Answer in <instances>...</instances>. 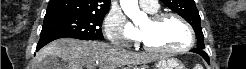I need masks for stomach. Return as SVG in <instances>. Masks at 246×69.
Instances as JSON below:
<instances>
[{"label":"stomach","mask_w":246,"mask_h":69,"mask_svg":"<svg viewBox=\"0 0 246 69\" xmlns=\"http://www.w3.org/2000/svg\"><path fill=\"white\" fill-rule=\"evenodd\" d=\"M154 69H185V67L175 58H162L155 64Z\"/></svg>","instance_id":"1"}]
</instances>
